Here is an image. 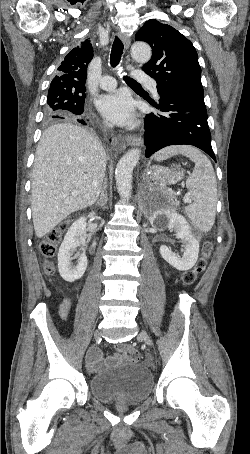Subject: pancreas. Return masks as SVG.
Instances as JSON below:
<instances>
[{
	"mask_svg": "<svg viewBox=\"0 0 250 454\" xmlns=\"http://www.w3.org/2000/svg\"><path fill=\"white\" fill-rule=\"evenodd\" d=\"M165 195L173 203L174 206L178 205V201L173 193L165 192Z\"/></svg>",
	"mask_w": 250,
	"mask_h": 454,
	"instance_id": "1",
	"label": "pancreas"
}]
</instances>
